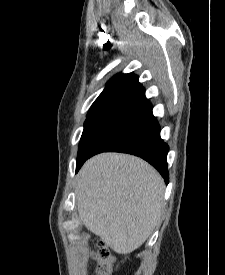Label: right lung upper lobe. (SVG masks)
Returning a JSON list of instances; mask_svg holds the SVG:
<instances>
[{"mask_svg": "<svg viewBox=\"0 0 225 275\" xmlns=\"http://www.w3.org/2000/svg\"><path fill=\"white\" fill-rule=\"evenodd\" d=\"M150 106L136 75L117 74L92 104L87 118L107 114L127 117Z\"/></svg>", "mask_w": 225, "mask_h": 275, "instance_id": "right-lung-upper-lobe-1", "label": "right lung upper lobe"}]
</instances>
